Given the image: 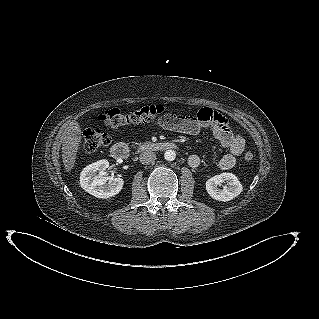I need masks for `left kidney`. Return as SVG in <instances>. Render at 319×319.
I'll return each mask as SVG.
<instances>
[{"label":"left kidney","mask_w":319,"mask_h":319,"mask_svg":"<svg viewBox=\"0 0 319 319\" xmlns=\"http://www.w3.org/2000/svg\"><path fill=\"white\" fill-rule=\"evenodd\" d=\"M223 182H226L228 186H223L220 189L218 185ZM206 190L213 199L226 202L238 196L243 187L234 174L225 172L208 179L206 181Z\"/></svg>","instance_id":"obj_1"}]
</instances>
